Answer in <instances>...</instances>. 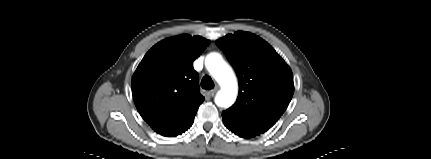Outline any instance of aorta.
<instances>
[{"label": "aorta", "instance_id": "obj_1", "mask_svg": "<svg viewBox=\"0 0 431 159\" xmlns=\"http://www.w3.org/2000/svg\"><path fill=\"white\" fill-rule=\"evenodd\" d=\"M205 66L221 87L215 96L216 105L223 108L232 106L237 97L238 85L230 66L218 53L208 54Z\"/></svg>", "mask_w": 431, "mask_h": 159}]
</instances>
